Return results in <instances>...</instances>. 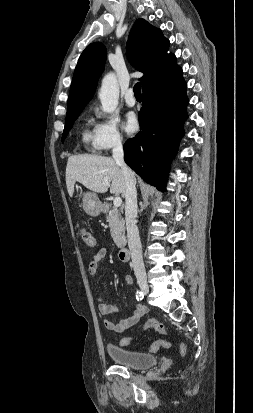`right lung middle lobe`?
Instances as JSON below:
<instances>
[{
    "instance_id": "right-lung-middle-lobe-1",
    "label": "right lung middle lobe",
    "mask_w": 253,
    "mask_h": 413,
    "mask_svg": "<svg viewBox=\"0 0 253 413\" xmlns=\"http://www.w3.org/2000/svg\"><path fill=\"white\" fill-rule=\"evenodd\" d=\"M78 116H79V114L73 115V116H70V117L66 118V124H65L64 131H63V135H62V141L67 136L68 131L72 128L73 122L77 119Z\"/></svg>"
}]
</instances>
